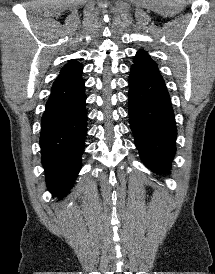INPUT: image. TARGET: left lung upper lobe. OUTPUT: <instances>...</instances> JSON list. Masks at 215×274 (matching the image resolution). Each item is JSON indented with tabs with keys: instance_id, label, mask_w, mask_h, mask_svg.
<instances>
[{
	"instance_id": "5c2ea615",
	"label": "left lung upper lobe",
	"mask_w": 215,
	"mask_h": 274,
	"mask_svg": "<svg viewBox=\"0 0 215 274\" xmlns=\"http://www.w3.org/2000/svg\"><path fill=\"white\" fill-rule=\"evenodd\" d=\"M132 66L159 73L157 64L151 59L148 53L142 49L137 52Z\"/></svg>"
}]
</instances>
